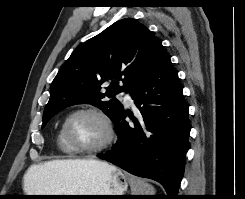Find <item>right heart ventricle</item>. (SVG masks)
<instances>
[{"instance_id":"obj_1","label":"right heart ventricle","mask_w":245,"mask_h":199,"mask_svg":"<svg viewBox=\"0 0 245 199\" xmlns=\"http://www.w3.org/2000/svg\"><path fill=\"white\" fill-rule=\"evenodd\" d=\"M56 143H57L59 149L63 153H65L66 155L72 156L75 154L74 151L71 149V147L65 141V138H64L63 132H62V127L59 129V131L57 133Z\"/></svg>"}]
</instances>
